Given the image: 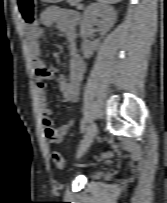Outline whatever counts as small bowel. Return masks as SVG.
Returning <instances> with one entry per match:
<instances>
[{"instance_id": "obj_1", "label": "small bowel", "mask_w": 167, "mask_h": 203, "mask_svg": "<svg viewBox=\"0 0 167 203\" xmlns=\"http://www.w3.org/2000/svg\"><path fill=\"white\" fill-rule=\"evenodd\" d=\"M79 22L80 16L76 11L56 6L46 8L40 15V23L43 28L57 25L58 29L66 37L69 67L68 76L60 75L56 77L43 59L40 43L43 30H39L28 37V49L32 63L35 67L36 88L40 94L39 106L41 121L44 127V136L50 142H59L62 140L74 124L73 120H71L56 128L52 126L45 90L47 80L57 79L60 90L63 94V102H77L79 87L85 72V63L79 55L76 47L77 27Z\"/></svg>"}]
</instances>
